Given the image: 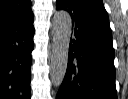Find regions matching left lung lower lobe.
<instances>
[{
	"instance_id": "0a47b994",
	"label": "left lung lower lobe",
	"mask_w": 128,
	"mask_h": 99,
	"mask_svg": "<svg viewBox=\"0 0 128 99\" xmlns=\"http://www.w3.org/2000/svg\"><path fill=\"white\" fill-rule=\"evenodd\" d=\"M56 8L70 13L74 37L56 99H117L109 20L73 11L63 2H57Z\"/></svg>"
}]
</instances>
